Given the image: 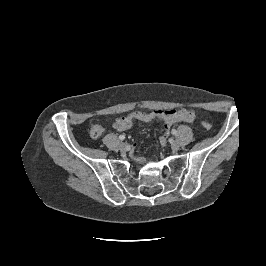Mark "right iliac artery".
Wrapping results in <instances>:
<instances>
[{
  "label": "right iliac artery",
  "instance_id": "82829eb1",
  "mask_svg": "<svg viewBox=\"0 0 266 266\" xmlns=\"http://www.w3.org/2000/svg\"><path fill=\"white\" fill-rule=\"evenodd\" d=\"M119 139H120V140H124V139H125V135H120V136H119Z\"/></svg>",
  "mask_w": 266,
  "mask_h": 266
}]
</instances>
